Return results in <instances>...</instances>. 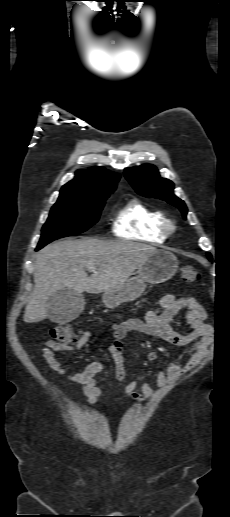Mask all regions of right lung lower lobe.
<instances>
[{
    "instance_id": "1",
    "label": "right lung lower lobe",
    "mask_w": 230,
    "mask_h": 517,
    "mask_svg": "<svg viewBox=\"0 0 230 517\" xmlns=\"http://www.w3.org/2000/svg\"><path fill=\"white\" fill-rule=\"evenodd\" d=\"M39 249H40L39 247L36 248V250H39Z\"/></svg>"
}]
</instances>
